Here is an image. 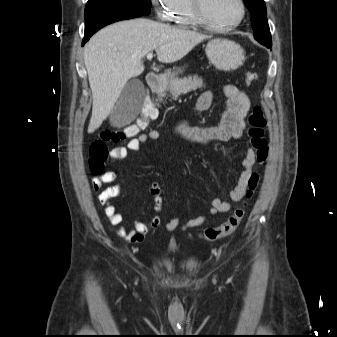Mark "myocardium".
Masks as SVG:
<instances>
[{
  "label": "myocardium",
  "mask_w": 337,
  "mask_h": 337,
  "mask_svg": "<svg viewBox=\"0 0 337 337\" xmlns=\"http://www.w3.org/2000/svg\"><path fill=\"white\" fill-rule=\"evenodd\" d=\"M192 6V12L197 20V22L204 27L208 28L209 30L216 31V32H227L237 28L245 19L246 16V4L244 0H237L240 6V16L239 18L228 25H218L210 21L203 9V0H190Z\"/></svg>",
  "instance_id": "1"
}]
</instances>
